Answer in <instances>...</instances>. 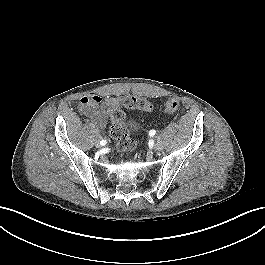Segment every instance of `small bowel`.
Returning a JSON list of instances; mask_svg holds the SVG:
<instances>
[{
  "label": "small bowel",
  "mask_w": 265,
  "mask_h": 265,
  "mask_svg": "<svg viewBox=\"0 0 265 265\" xmlns=\"http://www.w3.org/2000/svg\"><path fill=\"white\" fill-rule=\"evenodd\" d=\"M117 104L115 97L103 99L96 94L83 96L79 102L82 113L101 127L106 123L108 112Z\"/></svg>",
  "instance_id": "small-bowel-1"
}]
</instances>
